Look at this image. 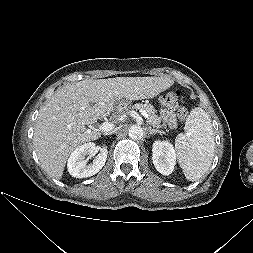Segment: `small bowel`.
<instances>
[{"label": "small bowel", "instance_id": "c3829d8e", "mask_svg": "<svg viewBox=\"0 0 253 253\" xmlns=\"http://www.w3.org/2000/svg\"><path fill=\"white\" fill-rule=\"evenodd\" d=\"M161 117L164 121V123L169 127V128H175L177 126V119L176 115L172 110L169 109H163L161 111Z\"/></svg>", "mask_w": 253, "mask_h": 253}]
</instances>
